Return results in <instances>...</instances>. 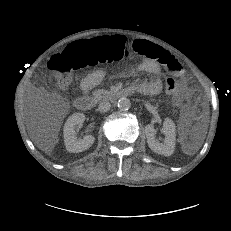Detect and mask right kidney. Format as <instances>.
Returning a JSON list of instances; mask_svg holds the SVG:
<instances>
[{"label":"right kidney","instance_id":"right-kidney-1","mask_svg":"<svg viewBox=\"0 0 231 231\" xmlns=\"http://www.w3.org/2000/svg\"><path fill=\"white\" fill-rule=\"evenodd\" d=\"M85 120L83 113H74L66 121L64 125V142L68 152L79 153L89 149L95 141L94 136L86 135L83 139H77L75 128L81 125Z\"/></svg>","mask_w":231,"mask_h":231}]
</instances>
